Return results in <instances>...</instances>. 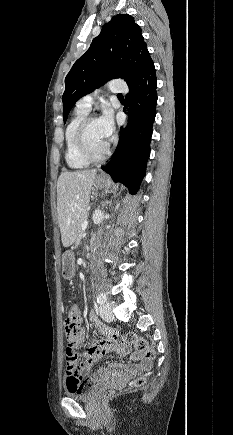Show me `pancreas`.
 I'll return each mask as SVG.
<instances>
[{
  "label": "pancreas",
  "mask_w": 233,
  "mask_h": 435,
  "mask_svg": "<svg viewBox=\"0 0 233 435\" xmlns=\"http://www.w3.org/2000/svg\"><path fill=\"white\" fill-rule=\"evenodd\" d=\"M87 218H88V215L86 214L83 218H82V220H81V223H80V230H79V237L81 236V224L84 222V221H86L87 220Z\"/></svg>",
  "instance_id": "1"
}]
</instances>
